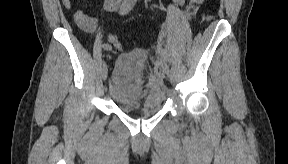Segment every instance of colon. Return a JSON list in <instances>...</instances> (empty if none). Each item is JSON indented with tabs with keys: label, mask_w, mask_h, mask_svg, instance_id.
I'll return each instance as SVG.
<instances>
[{
	"label": "colon",
	"mask_w": 288,
	"mask_h": 164,
	"mask_svg": "<svg viewBox=\"0 0 288 164\" xmlns=\"http://www.w3.org/2000/svg\"><path fill=\"white\" fill-rule=\"evenodd\" d=\"M90 19H92L91 17H89ZM92 26H93V24H89V25H87V29H90V28H92ZM106 39H107V41L109 42V43H111L110 45L111 46H115L116 48H118V49H114V52H121L122 50L120 49L121 48V44H120V41H119V39L115 36V35H113V34H107L106 35Z\"/></svg>",
	"instance_id": "obj_1"
}]
</instances>
